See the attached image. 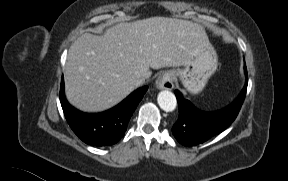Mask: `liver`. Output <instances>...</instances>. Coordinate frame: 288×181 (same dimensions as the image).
Instances as JSON below:
<instances>
[{
    "mask_svg": "<svg viewBox=\"0 0 288 181\" xmlns=\"http://www.w3.org/2000/svg\"><path fill=\"white\" fill-rule=\"evenodd\" d=\"M202 35L191 21L150 17L108 28L102 36L84 33L70 46L64 70L69 102L86 112L109 109L149 78L150 68L185 65Z\"/></svg>",
    "mask_w": 288,
    "mask_h": 181,
    "instance_id": "1",
    "label": "liver"
}]
</instances>
